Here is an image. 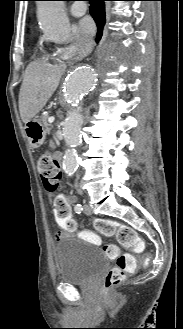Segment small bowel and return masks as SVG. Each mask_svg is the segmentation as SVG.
Instances as JSON below:
<instances>
[{
  "mask_svg": "<svg viewBox=\"0 0 183 329\" xmlns=\"http://www.w3.org/2000/svg\"><path fill=\"white\" fill-rule=\"evenodd\" d=\"M71 198L65 195H59L58 197L52 198V215L55 219V224L57 227H63L64 232H75L76 231V221L72 220V204ZM66 202V203H65ZM81 232H84L82 235L85 237L86 242H95L100 243V239L95 235H90L91 231L86 225H81L79 227ZM61 235V232H55L54 237L58 239Z\"/></svg>",
  "mask_w": 183,
  "mask_h": 329,
  "instance_id": "c3829d8e",
  "label": "small bowel"
}]
</instances>
